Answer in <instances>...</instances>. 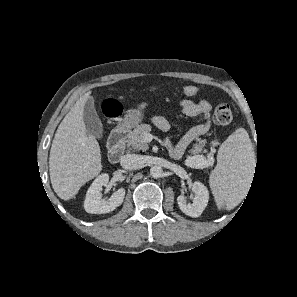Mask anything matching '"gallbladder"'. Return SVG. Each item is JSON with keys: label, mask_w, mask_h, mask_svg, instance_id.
<instances>
[{"label": "gallbladder", "mask_w": 297, "mask_h": 297, "mask_svg": "<svg viewBox=\"0 0 297 297\" xmlns=\"http://www.w3.org/2000/svg\"><path fill=\"white\" fill-rule=\"evenodd\" d=\"M83 121L88 134L93 135L97 139L103 137V124L98 116L94 106V100L90 97L84 106Z\"/></svg>", "instance_id": "bac80fb5"}]
</instances>
